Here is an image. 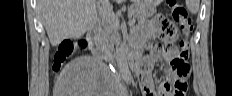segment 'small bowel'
I'll list each match as a JSON object with an SVG mask.
<instances>
[{
    "mask_svg": "<svg viewBox=\"0 0 232 96\" xmlns=\"http://www.w3.org/2000/svg\"><path fill=\"white\" fill-rule=\"evenodd\" d=\"M166 11H155L153 19L142 20L135 30H127V35H132L130 43L135 46H141L144 43H160V39H167L168 35H176L179 32L180 25H175V22H170L166 19ZM155 37V38H154ZM160 57H168L162 50L157 49L152 53V60H157ZM169 60V59H168ZM149 62L139 70V84L144 96H183L187 89V75H181L174 72L176 83L172 89L168 83H163L156 90L150 73Z\"/></svg>",
    "mask_w": 232,
    "mask_h": 96,
    "instance_id": "small-bowel-1",
    "label": "small bowel"
}]
</instances>
